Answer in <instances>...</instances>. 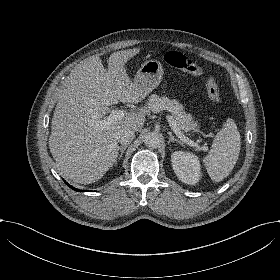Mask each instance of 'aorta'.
Returning <instances> with one entry per match:
<instances>
[{
  "mask_svg": "<svg viewBox=\"0 0 280 280\" xmlns=\"http://www.w3.org/2000/svg\"><path fill=\"white\" fill-rule=\"evenodd\" d=\"M144 143L149 148H158L161 145V138L157 133L148 132L144 134Z\"/></svg>",
  "mask_w": 280,
  "mask_h": 280,
  "instance_id": "obj_1",
  "label": "aorta"
}]
</instances>
